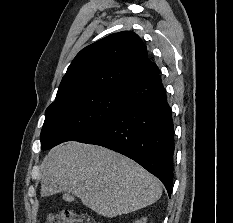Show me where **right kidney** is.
<instances>
[{"instance_id":"obj_1","label":"right kidney","mask_w":233,"mask_h":223,"mask_svg":"<svg viewBox=\"0 0 233 223\" xmlns=\"http://www.w3.org/2000/svg\"><path fill=\"white\" fill-rule=\"evenodd\" d=\"M135 223H147V217H142V219H137Z\"/></svg>"}]
</instances>
